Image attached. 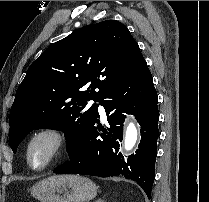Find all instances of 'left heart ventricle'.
<instances>
[{"label":"left heart ventricle","mask_w":209,"mask_h":202,"mask_svg":"<svg viewBox=\"0 0 209 202\" xmlns=\"http://www.w3.org/2000/svg\"><path fill=\"white\" fill-rule=\"evenodd\" d=\"M49 146L50 144L47 139H40L33 144L31 155L34 164L40 165L46 160Z\"/></svg>","instance_id":"left-heart-ventricle-1"}]
</instances>
